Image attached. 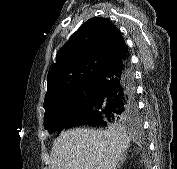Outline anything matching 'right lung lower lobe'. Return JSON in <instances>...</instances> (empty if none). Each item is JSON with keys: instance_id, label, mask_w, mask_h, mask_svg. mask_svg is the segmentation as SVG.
<instances>
[{"instance_id": "obj_1", "label": "right lung lower lobe", "mask_w": 177, "mask_h": 169, "mask_svg": "<svg viewBox=\"0 0 177 169\" xmlns=\"http://www.w3.org/2000/svg\"><path fill=\"white\" fill-rule=\"evenodd\" d=\"M95 95L88 107L61 128L106 126L138 117L134 73L128 54L104 68L94 79Z\"/></svg>"}]
</instances>
